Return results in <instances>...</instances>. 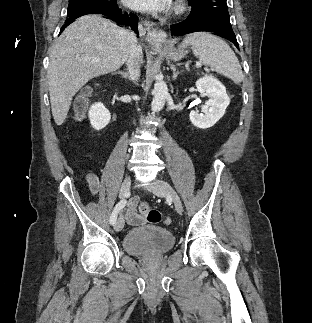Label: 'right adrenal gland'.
<instances>
[{
	"mask_svg": "<svg viewBox=\"0 0 312 323\" xmlns=\"http://www.w3.org/2000/svg\"><path fill=\"white\" fill-rule=\"evenodd\" d=\"M116 74H120V76H122V78H126V80H129V76H128V74H126V72H116Z\"/></svg>",
	"mask_w": 312,
	"mask_h": 323,
	"instance_id": "1",
	"label": "right adrenal gland"
}]
</instances>
